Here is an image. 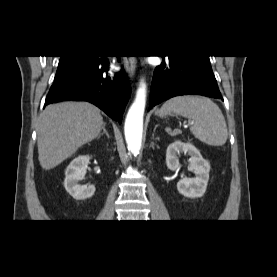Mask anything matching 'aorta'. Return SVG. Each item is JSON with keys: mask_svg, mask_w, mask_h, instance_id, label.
<instances>
[{"mask_svg": "<svg viewBox=\"0 0 277 277\" xmlns=\"http://www.w3.org/2000/svg\"><path fill=\"white\" fill-rule=\"evenodd\" d=\"M146 103V84L141 80L136 97L125 120V138L129 151L139 154L142 142L143 116Z\"/></svg>", "mask_w": 277, "mask_h": 277, "instance_id": "1", "label": "aorta"}]
</instances>
